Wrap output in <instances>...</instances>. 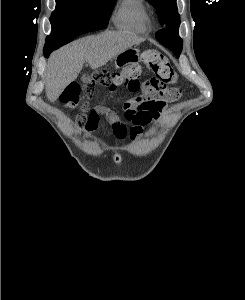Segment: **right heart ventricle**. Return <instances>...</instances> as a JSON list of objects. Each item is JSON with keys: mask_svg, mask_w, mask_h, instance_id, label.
<instances>
[{"mask_svg": "<svg viewBox=\"0 0 245 300\" xmlns=\"http://www.w3.org/2000/svg\"><path fill=\"white\" fill-rule=\"evenodd\" d=\"M113 22L119 29L146 32L150 18L142 0H122L114 14Z\"/></svg>", "mask_w": 245, "mask_h": 300, "instance_id": "obj_1", "label": "right heart ventricle"}]
</instances>
